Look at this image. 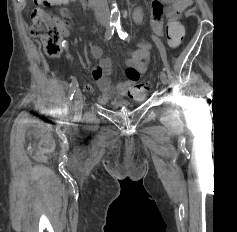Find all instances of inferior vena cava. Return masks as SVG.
Returning <instances> with one entry per match:
<instances>
[{
  "mask_svg": "<svg viewBox=\"0 0 237 232\" xmlns=\"http://www.w3.org/2000/svg\"><path fill=\"white\" fill-rule=\"evenodd\" d=\"M94 9V15L98 21H107L109 19V10L107 0H90Z\"/></svg>",
  "mask_w": 237,
  "mask_h": 232,
  "instance_id": "inferior-vena-cava-1",
  "label": "inferior vena cava"
}]
</instances>
